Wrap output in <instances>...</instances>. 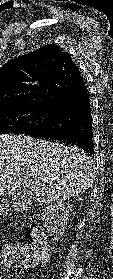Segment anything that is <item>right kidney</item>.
Segmentation results:
<instances>
[{"mask_svg": "<svg viewBox=\"0 0 113 279\" xmlns=\"http://www.w3.org/2000/svg\"><path fill=\"white\" fill-rule=\"evenodd\" d=\"M70 211H72V205L65 202L51 204L44 209L41 216L44 221L43 229L48 236H54L52 241L58 240L64 234Z\"/></svg>", "mask_w": 113, "mask_h": 279, "instance_id": "right-kidney-1", "label": "right kidney"}]
</instances>
